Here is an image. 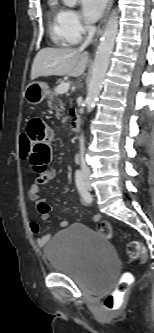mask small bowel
Returning a JSON list of instances; mask_svg holds the SVG:
<instances>
[{
  "mask_svg": "<svg viewBox=\"0 0 154 333\" xmlns=\"http://www.w3.org/2000/svg\"><path fill=\"white\" fill-rule=\"evenodd\" d=\"M26 134L32 142L31 153L29 156L32 170L36 173L34 182L30 185L28 196L37 204L38 212L43 221L50 218L52 208L47 201L40 195V186L48 183L56 176V171L51 167L52 148L51 143L53 133L50 127L41 119L33 118L29 121ZM100 215L95 214L93 221L98 222ZM61 227H67L68 221H60ZM31 232L36 236V242L39 246H44L51 239V234L41 236L40 225L31 220L29 223Z\"/></svg>",
  "mask_w": 154,
  "mask_h": 333,
  "instance_id": "small-bowel-1",
  "label": "small bowel"
}]
</instances>
